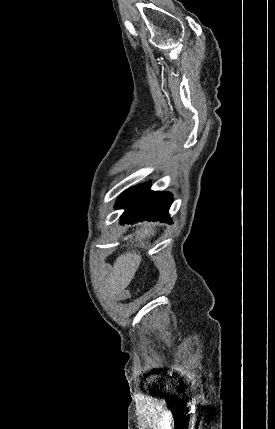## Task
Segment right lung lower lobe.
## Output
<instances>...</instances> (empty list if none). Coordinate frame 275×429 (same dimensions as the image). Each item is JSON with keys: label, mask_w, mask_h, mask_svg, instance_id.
Wrapping results in <instances>:
<instances>
[{"label": "right lung lower lobe", "mask_w": 275, "mask_h": 429, "mask_svg": "<svg viewBox=\"0 0 275 429\" xmlns=\"http://www.w3.org/2000/svg\"><path fill=\"white\" fill-rule=\"evenodd\" d=\"M148 184L132 187L119 198L116 208H123L121 223L134 224L140 221H168V210L172 203V195L168 192L150 191Z\"/></svg>", "instance_id": "obj_1"}]
</instances>
